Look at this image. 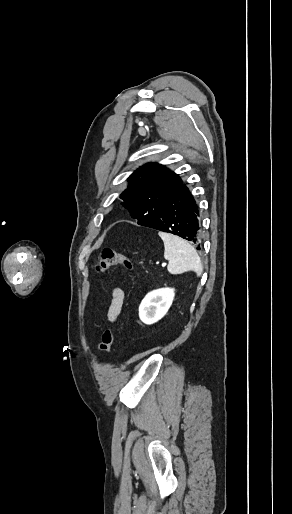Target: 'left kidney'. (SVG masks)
Segmentation results:
<instances>
[{
	"mask_svg": "<svg viewBox=\"0 0 292 514\" xmlns=\"http://www.w3.org/2000/svg\"><path fill=\"white\" fill-rule=\"evenodd\" d=\"M173 288H161L153 290L145 296L139 306V318L144 324H155L167 314L173 300Z\"/></svg>",
	"mask_w": 292,
	"mask_h": 514,
	"instance_id": "5707ae66",
	"label": "left kidney"
}]
</instances>
